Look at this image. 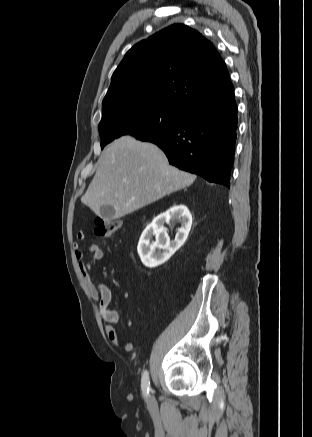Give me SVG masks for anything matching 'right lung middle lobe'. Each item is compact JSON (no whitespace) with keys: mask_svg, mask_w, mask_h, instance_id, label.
Masks as SVG:
<instances>
[{"mask_svg":"<svg viewBox=\"0 0 312 437\" xmlns=\"http://www.w3.org/2000/svg\"><path fill=\"white\" fill-rule=\"evenodd\" d=\"M187 109L161 102H140L120 106L102 116L99 134L101 148L123 135L139 140L155 137L178 126Z\"/></svg>","mask_w":312,"mask_h":437,"instance_id":"1","label":"right lung middle lobe"}]
</instances>
